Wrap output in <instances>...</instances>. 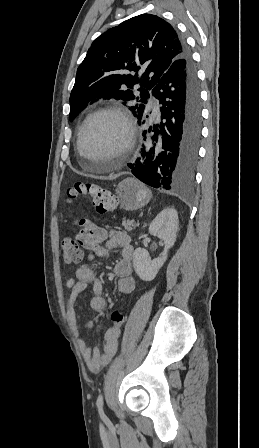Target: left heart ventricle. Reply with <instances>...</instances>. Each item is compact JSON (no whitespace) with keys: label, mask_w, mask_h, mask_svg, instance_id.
Segmentation results:
<instances>
[{"label":"left heart ventricle","mask_w":259,"mask_h":448,"mask_svg":"<svg viewBox=\"0 0 259 448\" xmlns=\"http://www.w3.org/2000/svg\"><path fill=\"white\" fill-rule=\"evenodd\" d=\"M125 136L123 121L115 115H103L86 128L83 138L81 161L106 162L115 157L114 148Z\"/></svg>","instance_id":"b2bd125f"}]
</instances>
